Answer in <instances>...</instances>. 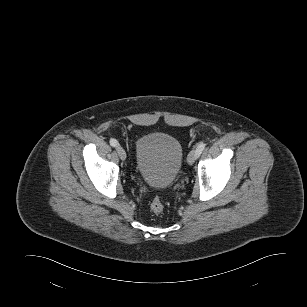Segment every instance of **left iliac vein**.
Returning <instances> with one entry per match:
<instances>
[{
    "label": "left iliac vein",
    "mask_w": 307,
    "mask_h": 307,
    "mask_svg": "<svg viewBox=\"0 0 307 307\" xmlns=\"http://www.w3.org/2000/svg\"><path fill=\"white\" fill-rule=\"evenodd\" d=\"M198 155H197V152L196 150H192L189 154H188V157H187V162L189 165H192L195 160L197 159Z\"/></svg>",
    "instance_id": "left-iliac-vein-1"
}]
</instances>
